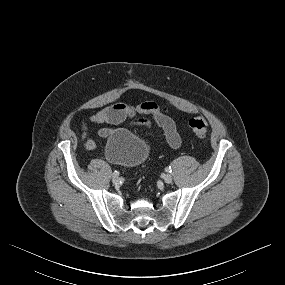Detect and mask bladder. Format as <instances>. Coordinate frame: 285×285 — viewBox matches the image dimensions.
<instances>
[{
	"instance_id": "31cf9c89",
	"label": "bladder",
	"mask_w": 285,
	"mask_h": 285,
	"mask_svg": "<svg viewBox=\"0 0 285 285\" xmlns=\"http://www.w3.org/2000/svg\"><path fill=\"white\" fill-rule=\"evenodd\" d=\"M148 144L134 133L124 130H110L106 137L105 155L108 160L125 167H136L149 156Z\"/></svg>"
}]
</instances>
